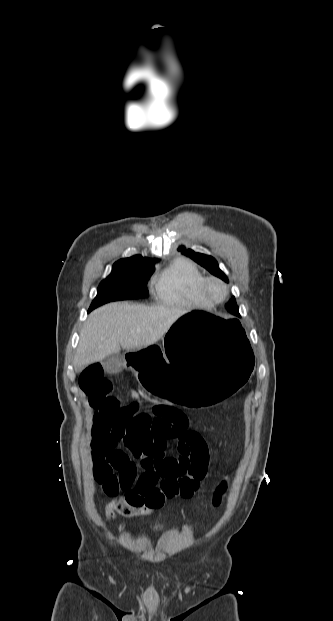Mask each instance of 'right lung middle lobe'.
<instances>
[{
    "instance_id": "1",
    "label": "right lung middle lobe",
    "mask_w": 333,
    "mask_h": 621,
    "mask_svg": "<svg viewBox=\"0 0 333 621\" xmlns=\"http://www.w3.org/2000/svg\"><path fill=\"white\" fill-rule=\"evenodd\" d=\"M154 267L115 263L111 274L103 280L88 312L110 301L148 298L147 281Z\"/></svg>"
}]
</instances>
